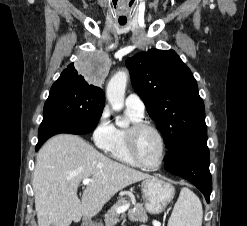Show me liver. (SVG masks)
I'll return each instance as SVG.
<instances>
[{
  "label": "liver",
  "instance_id": "obj_1",
  "mask_svg": "<svg viewBox=\"0 0 247 226\" xmlns=\"http://www.w3.org/2000/svg\"><path fill=\"white\" fill-rule=\"evenodd\" d=\"M151 178L118 163L76 135L61 134L49 139L36 157L32 186L38 226H69L82 217L90 219L123 188ZM83 179H92L83 191Z\"/></svg>",
  "mask_w": 247,
  "mask_h": 226
}]
</instances>
